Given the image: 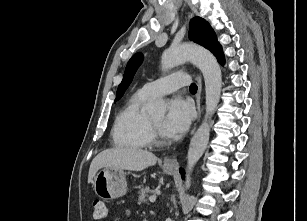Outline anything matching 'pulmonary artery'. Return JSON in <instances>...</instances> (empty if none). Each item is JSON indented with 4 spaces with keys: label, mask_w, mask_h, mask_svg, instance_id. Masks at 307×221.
<instances>
[{
    "label": "pulmonary artery",
    "mask_w": 307,
    "mask_h": 221,
    "mask_svg": "<svg viewBox=\"0 0 307 221\" xmlns=\"http://www.w3.org/2000/svg\"><path fill=\"white\" fill-rule=\"evenodd\" d=\"M189 81L188 74L178 72L146 83L140 90L149 97L155 98L172 93L180 87L188 85Z\"/></svg>",
    "instance_id": "pulmonary-artery-1"
}]
</instances>
